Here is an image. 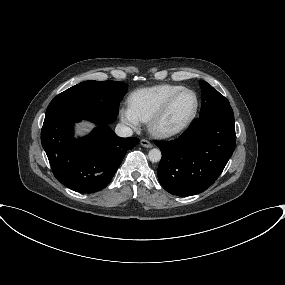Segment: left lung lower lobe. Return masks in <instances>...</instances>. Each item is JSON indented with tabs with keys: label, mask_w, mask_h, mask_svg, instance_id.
<instances>
[{
	"label": "left lung lower lobe",
	"mask_w": 285,
	"mask_h": 285,
	"mask_svg": "<svg viewBox=\"0 0 285 285\" xmlns=\"http://www.w3.org/2000/svg\"><path fill=\"white\" fill-rule=\"evenodd\" d=\"M155 144L162 152L157 170L162 187L178 196L201 193L220 176L235 149L233 114L202 116L179 138Z\"/></svg>",
	"instance_id": "0a47b994"
}]
</instances>
